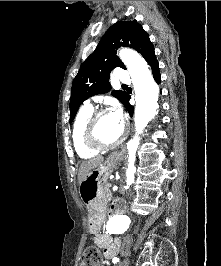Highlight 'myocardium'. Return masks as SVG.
Listing matches in <instances>:
<instances>
[{
  "label": "myocardium",
  "mask_w": 221,
  "mask_h": 266,
  "mask_svg": "<svg viewBox=\"0 0 221 266\" xmlns=\"http://www.w3.org/2000/svg\"><path fill=\"white\" fill-rule=\"evenodd\" d=\"M107 110L105 109H98L92 112L90 117L88 118L85 128H84V142L85 144L94 150H108L112 149L118 145H120L125 138L127 137L128 130L125 126H123L122 132L118 139L113 142L105 143L100 140L97 136V122L100 116L107 114Z\"/></svg>",
  "instance_id": "1"
}]
</instances>
